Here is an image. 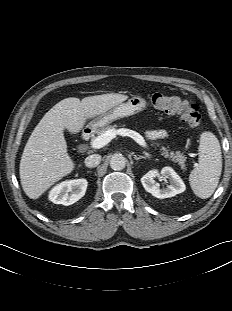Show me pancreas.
Returning a JSON list of instances; mask_svg holds the SVG:
<instances>
[{"mask_svg":"<svg viewBox=\"0 0 232 311\" xmlns=\"http://www.w3.org/2000/svg\"><path fill=\"white\" fill-rule=\"evenodd\" d=\"M117 127H118L117 125H108V126L102 128L101 130H99L97 132V134L100 136L103 133H105L107 130H110V129H115L116 130ZM94 139H96V137H93L92 141ZM160 151H161V155L164 156L165 158H169L172 161L177 162L181 166H184L185 157H184L183 153H180L179 151H177V152H173V151L169 152V150H167V148H165V147H161Z\"/></svg>","mask_w":232,"mask_h":311,"instance_id":"pancreas-1","label":"pancreas"}]
</instances>
